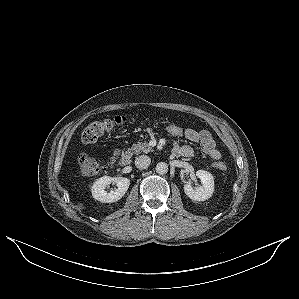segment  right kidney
<instances>
[{
  "instance_id": "1",
  "label": "right kidney",
  "mask_w": 299,
  "mask_h": 299,
  "mask_svg": "<svg viewBox=\"0 0 299 299\" xmlns=\"http://www.w3.org/2000/svg\"><path fill=\"white\" fill-rule=\"evenodd\" d=\"M115 183L117 188L110 192H106L105 188L111 183ZM130 180L125 177H109L103 176L97 179L91 189L94 199L102 203H113L120 200L127 192Z\"/></svg>"
}]
</instances>
